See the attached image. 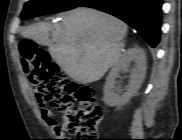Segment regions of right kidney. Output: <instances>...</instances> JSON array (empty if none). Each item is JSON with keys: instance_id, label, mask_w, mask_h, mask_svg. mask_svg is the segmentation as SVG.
I'll list each match as a JSON object with an SVG mask.
<instances>
[{"instance_id": "right-kidney-1", "label": "right kidney", "mask_w": 182, "mask_h": 140, "mask_svg": "<svg viewBox=\"0 0 182 140\" xmlns=\"http://www.w3.org/2000/svg\"><path fill=\"white\" fill-rule=\"evenodd\" d=\"M134 69L130 72L128 89L121 96L115 93L116 78L119 73L128 70L130 63ZM146 75V54L139 47L129 49L111 68L104 86V102L108 106H121L127 103L139 90Z\"/></svg>"}]
</instances>
